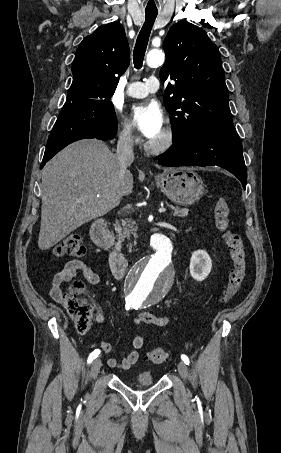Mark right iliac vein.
<instances>
[{
    "label": "right iliac vein",
    "mask_w": 281,
    "mask_h": 453,
    "mask_svg": "<svg viewBox=\"0 0 281 453\" xmlns=\"http://www.w3.org/2000/svg\"><path fill=\"white\" fill-rule=\"evenodd\" d=\"M102 366V363L100 362L99 358H96L93 360V365L91 367V375L92 376H97L100 370V367Z\"/></svg>",
    "instance_id": "right-iliac-vein-1"
}]
</instances>
